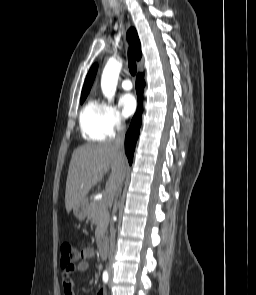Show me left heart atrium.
I'll list each match as a JSON object with an SVG mask.
<instances>
[{"instance_id":"obj_1","label":"left heart atrium","mask_w":256,"mask_h":295,"mask_svg":"<svg viewBox=\"0 0 256 295\" xmlns=\"http://www.w3.org/2000/svg\"><path fill=\"white\" fill-rule=\"evenodd\" d=\"M119 104L125 117L131 116L135 112L137 106L135 97L130 93L122 95Z\"/></svg>"}]
</instances>
